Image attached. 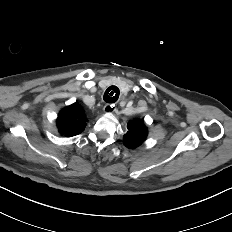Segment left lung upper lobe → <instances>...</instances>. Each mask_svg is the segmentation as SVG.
<instances>
[{"mask_svg":"<svg viewBox=\"0 0 232 232\" xmlns=\"http://www.w3.org/2000/svg\"><path fill=\"white\" fill-rule=\"evenodd\" d=\"M128 132L124 135L125 146L134 149L141 145L147 137V128L143 121L133 120L127 124Z\"/></svg>","mask_w":232,"mask_h":232,"instance_id":"obj_1","label":"left lung upper lobe"}]
</instances>
